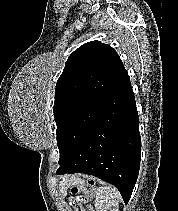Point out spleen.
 <instances>
[{"instance_id":"obj_1","label":"spleen","mask_w":178,"mask_h":211,"mask_svg":"<svg viewBox=\"0 0 178 211\" xmlns=\"http://www.w3.org/2000/svg\"><path fill=\"white\" fill-rule=\"evenodd\" d=\"M121 195L112 186L99 187L96 190L95 208L96 211H119Z\"/></svg>"}]
</instances>
